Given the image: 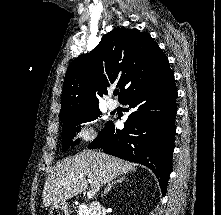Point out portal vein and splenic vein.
Here are the masks:
<instances>
[{"label": "portal vein and splenic vein", "mask_w": 221, "mask_h": 215, "mask_svg": "<svg viewBox=\"0 0 221 215\" xmlns=\"http://www.w3.org/2000/svg\"><path fill=\"white\" fill-rule=\"evenodd\" d=\"M94 195H95V191L90 190V191L87 192V197L89 199H91Z\"/></svg>", "instance_id": "obj_1"}]
</instances>
